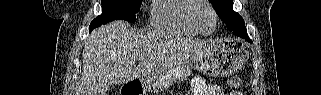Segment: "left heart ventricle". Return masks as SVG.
I'll return each instance as SVG.
<instances>
[{"instance_id":"b2bd125f","label":"left heart ventricle","mask_w":321,"mask_h":95,"mask_svg":"<svg viewBox=\"0 0 321 95\" xmlns=\"http://www.w3.org/2000/svg\"><path fill=\"white\" fill-rule=\"evenodd\" d=\"M193 15L196 23L203 31H210L213 28L212 13L205 5H198Z\"/></svg>"}]
</instances>
